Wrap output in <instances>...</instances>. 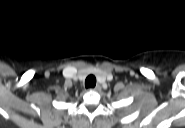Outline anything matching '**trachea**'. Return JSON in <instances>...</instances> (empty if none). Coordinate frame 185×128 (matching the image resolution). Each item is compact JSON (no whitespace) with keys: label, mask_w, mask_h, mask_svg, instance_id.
<instances>
[{"label":"trachea","mask_w":185,"mask_h":128,"mask_svg":"<svg viewBox=\"0 0 185 128\" xmlns=\"http://www.w3.org/2000/svg\"><path fill=\"white\" fill-rule=\"evenodd\" d=\"M96 85V78L94 75H89L85 80L86 88H93Z\"/></svg>","instance_id":"obj_1"}]
</instances>
